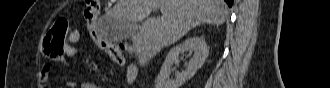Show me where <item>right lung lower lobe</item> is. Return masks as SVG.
<instances>
[{
    "label": "right lung lower lobe",
    "mask_w": 330,
    "mask_h": 88,
    "mask_svg": "<svg viewBox=\"0 0 330 88\" xmlns=\"http://www.w3.org/2000/svg\"><path fill=\"white\" fill-rule=\"evenodd\" d=\"M224 1L228 4L229 7H231L234 2V0H224Z\"/></svg>",
    "instance_id": "obj_1"
}]
</instances>
